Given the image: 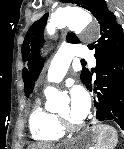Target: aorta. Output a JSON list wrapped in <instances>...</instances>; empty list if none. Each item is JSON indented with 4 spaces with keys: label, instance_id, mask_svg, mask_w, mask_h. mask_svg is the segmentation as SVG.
Segmentation results:
<instances>
[{
    "label": "aorta",
    "instance_id": "762f6f07",
    "mask_svg": "<svg viewBox=\"0 0 124 149\" xmlns=\"http://www.w3.org/2000/svg\"><path fill=\"white\" fill-rule=\"evenodd\" d=\"M91 23L92 16L82 9H59L51 15L47 25V32L53 35L57 28L66 26L75 32H80ZM45 95L47 98V106L49 108H55L58 104L60 93L53 88H47Z\"/></svg>",
    "mask_w": 124,
    "mask_h": 149
}]
</instances>
